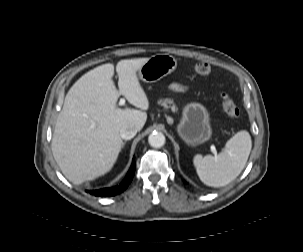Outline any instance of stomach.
I'll use <instances>...</instances> for the list:
<instances>
[{
	"mask_svg": "<svg viewBox=\"0 0 303 252\" xmlns=\"http://www.w3.org/2000/svg\"><path fill=\"white\" fill-rule=\"evenodd\" d=\"M176 66L177 60L172 55H154L142 65L138 76L146 83H154L173 72ZM177 133L188 146L207 142L212 136V129L206 107L198 102L185 105L182 118L177 125Z\"/></svg>",
	"mask_w": 303,
	"mask_h": 252,
	"instance_id": "1",
	"label": "stomach"
}]
</instances>
